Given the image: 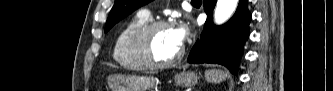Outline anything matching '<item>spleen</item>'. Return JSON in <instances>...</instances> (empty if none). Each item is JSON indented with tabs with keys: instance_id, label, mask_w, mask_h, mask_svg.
<instances>
[{
	"instance_id": "spleen-1",
	"label": "spleen",
	"mask_w": 333,
	"mask_h": 91,
	"mask_svg": "<svg viewBox=\"0 0 333 91\" xmlns=\"http://www.w3.org/2000/svg\"><path fill=\"white\" fill-rule=\"evenodd\" d=\"M205 77L208 82L211 83H220L227 77V72H224L222 70H207L205 72Z\"/></svg>"
}]
</instances>
